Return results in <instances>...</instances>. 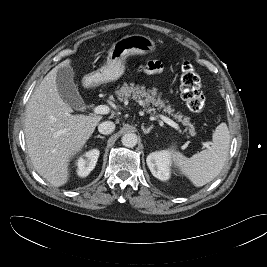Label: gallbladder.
I'll list each match as a JSON object with an SVG mask.
<instances>
[{
	"label": "gallbladder",
	"instance_id": "bac80fb5",
	"mask_svg": "<svg viewBox=\"0 0 267 267\" xmlns=\"http://www.w3.org/2000/svg\"><path fill=\"white\" fill-rule=\"evenodd\" d=\"M56 83L60 96L68 105L76 110L85 109V103L74 83V71L71 66L58 69Z\"/></svg>",
	"mask_w": 267,
	"mask_h": 267
}]
</instances>
